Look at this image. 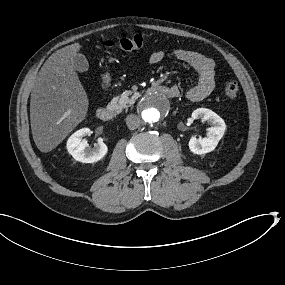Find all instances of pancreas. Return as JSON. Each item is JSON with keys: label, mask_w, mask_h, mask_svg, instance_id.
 <instances>
[{"label": "pancreas", "mask_w": 285, "mask_h": 285, "mask_svg": "<svg viewBox=\"0 0 285 285\" xmlns=\"http://www.w3.org/2000/svg\"><path fill=\"white\" fill-rule=\"evenodd\" d=\"M139 93L136 90L125 91L124 94H116L114 101H110L107 104L109 110L114 111L116 114L120 113L123 109L132 104V101L138 100Z\"/></svg>", "instance_id": "pancreas-1"}]
</instances>
